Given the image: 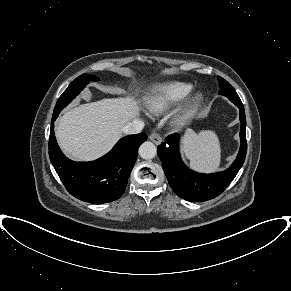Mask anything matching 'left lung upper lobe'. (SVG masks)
I'll use <instances>...</instances> for the list:
<instances>
[{"mask_svg":"<svg viewBox=\"0 0 291 291\" xmlns=\"http://www.w3.org/2000/svg\"><path fill=\"white\" fill-rule=\"evenodd\" d=\"M219 86H220V95L228 97L233 103L240 101L238 94L235 89L222 77L218 76Z\"/></svg>","mask_w":291,"mask_h":291,"instance_id":"left-lung-upper-lobe-1","label":"left lung upper lobe"}]
</instances>
